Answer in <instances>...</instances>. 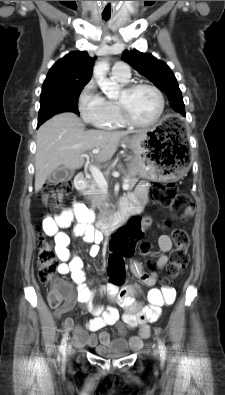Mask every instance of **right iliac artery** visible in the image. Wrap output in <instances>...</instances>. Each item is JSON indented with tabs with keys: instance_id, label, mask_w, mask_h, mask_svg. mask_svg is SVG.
Returning a JSON list of instances; mask_svg holds the SVG:
<instances>
[{
	"instance_id": "1",
	"label": "right iliac artery",
	"mask_w": 225,
	"mask_h": 395,
	"mask_svg": "<svg viewBox=\"0 0 225 395\" xmlns=\"http://www.w3.org/2000/svg\"><path fill=\"white\" fill-rule=\"evenodd\" d=\"M68 332H65L61 341V345L59 347L60 352L62 353L63 356L66 354V345H67V340H68Z\"/></svg>"
}]
</instances>
